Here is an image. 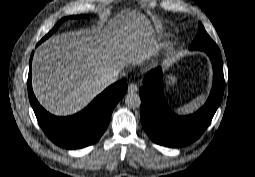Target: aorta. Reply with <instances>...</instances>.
Masks as SVG:
<instances>
[{
	"label": "aorta",
	"instance_id": "aorta-1",
	"mask_svg": "<svg viewBox=\"0 0 255 177\" xmlns=\"http://www.w3.org/2000/svg\"><path fill=\"white\" fill-rule=\"evenodd\" d=\"M125 104L131 109H137L141 106L140 96L136 93H129L125 97Z\"/></svg>",
	"mask_w": 255,
	"mask_h": 177
}]
</instances>
